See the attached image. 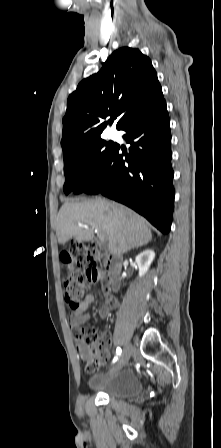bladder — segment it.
<instances>
[{"instance_id":"31cf9c89","label":"bladder","mask_w":221,"mask_h":448,"mask_svg":"<svg viewBox=\"0 0 221 448\" xmlns=\"http://www.w3.org/2000/svg\"><path fill=\"white\" fill-rule=\"evenodd\" d=\"M88 386L115 399H133L144 390L139 376L131 370H112L92 376L88 379Z\"/></svg>"}]
</instances>
